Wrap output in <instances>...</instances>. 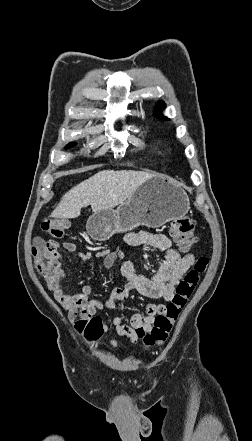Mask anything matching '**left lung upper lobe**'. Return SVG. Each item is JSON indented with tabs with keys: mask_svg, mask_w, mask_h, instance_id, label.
Returning <instances> with one entry per match:
<instances>
[{
	"mask_svg": "<svg viewBox=\"0 0 252 441\" xmlns=\"http://www.w3.org/2000/svg\"><path fill=\"white\" fill-rule=\"evenodd\" d=\"M163 109H165V103L163 101H160L158 103V105L156 106L155 116L160 118V119H163V120H168L167 117H164V116L161 115V112H162Z\"/></svg>",
	"mask_w": 252,
	"mask_h": 441,
	"instance_id": "left-lung-upper-lobe-1",
	"label": "left lung upper lobe"
}]
</instances>
